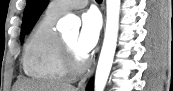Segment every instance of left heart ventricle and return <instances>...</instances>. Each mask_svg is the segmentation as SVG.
Masks as SVG:
<instances>
[{
    "instance_id": "b2bd125f",
    "label": "left heart ventricle",
    "mask_w": 173,
    "mask_h": 91,
    "mask_svg": "<svg viewBox=\"0 0 173 91\" xmlns=\"http://www.w3.org/2000/svg\"><path fill=\"white\" fill-rule=\"evenodd\" d=\"M64 39L66 40V42L72 47V49L77 53L78 56L82 57L76 47V42H77V34H69L67 36L64 37Z\"/></svg>"
}]
</instances>
